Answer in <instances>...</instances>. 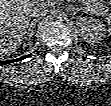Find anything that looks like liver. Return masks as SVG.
Segmentation results:
<instances>
[{
	"label": "liver",
	"mask_w": 111,
	"mask_h": 106,
	"mask_svg": "<svg viewBox=\"0 0 111 106\" xmlns=\"http://www.w3.org/2000/svg\"><path fill=\"white\" fill-rule=\"evenodd\" d=\"M35 0L0 1V54L8 56L21 45Z\"/></svg>",
	"instance_id": "obj_1"
}]
</instances>
